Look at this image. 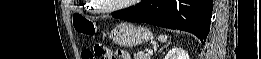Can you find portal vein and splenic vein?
I'll return each mask as SVG.
<instances>
[{"mask_svg": "<svg viewBox=\"0 0 261 59\" xmlns=\"http://www.w3.org/2000/svg\"><path fill=\"white\" fill-rule=\"evenodd\" d=\"M148 54H149V55H152V54H153V50L149 49V50H148Z\"/></svg>", "mask_w": 261, "mask_h": 59, "instance_id": "18ae733b", "label": "portal vein and splenic vein"}]
</instances>
